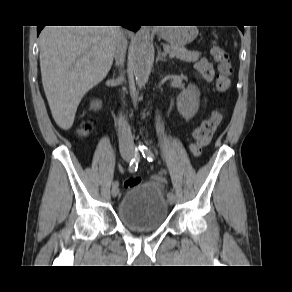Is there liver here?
<instances>
[{
  "label": "liver",
  "instance_id": "liver-1",
  "mask_svg": "<svg viewBox=\"0 0 292 292\" xmlns=\"http://www.w3.org/2000/svg\"><path fill=\"white\" fill-rule=\"evenodd\" d=\"M118 26H46L39 35L45 95L56 124L71 128L84 95L108 74Z\"/></svg>",
  "mask_w": 292,
  "mask_h": 292
}]
</instances>
